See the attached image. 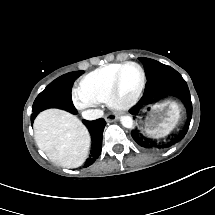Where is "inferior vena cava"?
Listing matches in <instances>:
<instances>
[{
	"mask_svg": "<svg viewBox=\"0 0 215 215\" xmlns=\"http://www.w3.org/2000/svg\"><path fill=\"white\" fill-rule=\"evenodd\" d=\"M82 117L86 120H96L103 117V111L100 109H90L82 112Z\"/></svg>",
	"mask_w": 215,
	"mask_h": 215,
	"instance_id": "1",
	"label": "inferior vena cava"
}]
</instances>
